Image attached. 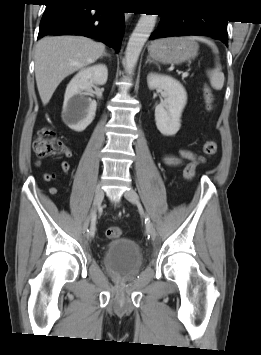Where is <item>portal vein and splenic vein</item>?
I'll list each match as a JSON object with an SVG mask.
<instances>
[{
	"instance_id": "obj_1",
	"label": "portal vein and splenic vein",
	"mask_w": 261,
	"mask_h": 355,
	"mask_svg": "<svg viewBox=\"0 0 261 355\" xmlns=\"http://www.w3.org/2000/svg\"><path fill=\"white\" fill-rule=\"evenodd\" d=\"M188 75H189L188 72H184V73L182 74V77H187Z\"/></svg>"
}]
</instances>
